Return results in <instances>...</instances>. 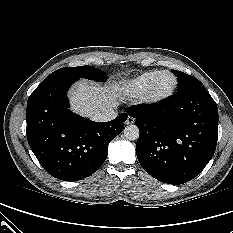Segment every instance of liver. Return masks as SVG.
<instances>
[{
    "mask_svg": "<svg viewBox=\"0 0 233 233\" xmlns=\"http://www.w3.org/2000/svg\"><path fill=\"white\" fill-rule=\"evenodd\" d=\"M119 85L100 86L87 80H82L69 92L70 102L75 112L92 118L100 112L110 111L117 107V98H122Z\"/></svg>",
    "mask_w": 233,
    "mask_h": 233,
    "instance_id": "6515ba94",
    "label": "liver"
}]
</instances>
